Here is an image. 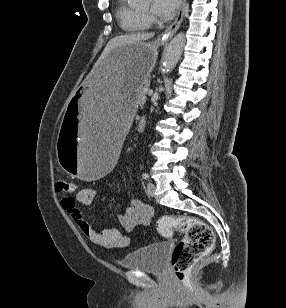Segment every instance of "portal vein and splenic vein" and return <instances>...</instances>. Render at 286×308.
I'll return each instance as SVG.
<instances>
[{"label":"portal vein and splenic vein","instance_id":"portal-vein-and-splenic-vein-1","mask_svg":"<svg viewBox=\"0 0 286 308\" xmlns=\"http://www.w3.org/2000/svg\"><path fill=\"white\" fill-rule=\"evenodd\" d=\"M147 93L149 94V95H152L153 94V90H147Z\"/></svg>","mask_w":286,"mask_h":308}]
</instances>
